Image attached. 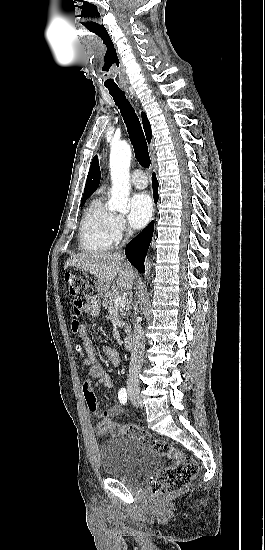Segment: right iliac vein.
<instances>
[{"instance_id":"1","label":"right iliac vein","mask_w":265,"mask_h":550,"mask_svg":"<svg viewBox=\"0 0 265 550\" xmlns=\"http://www.w3.org/2000/svg\"><path fill=\"white\" fill-rule=\"evenodd\" d=\"M128 395H129L130 400L132 401V403L135 406H137V407L142 406V401H141V398H140L138 387L130 386L128 388Z\"/></svg>"}]
</instances>
